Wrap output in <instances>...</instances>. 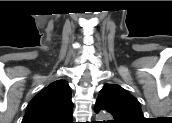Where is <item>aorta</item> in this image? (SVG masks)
Instances as JSON below:
<instances>
[{
  "label": "aorta",
  "mask_w": 172,
  "mask_h": 123,
  "mask_svg": "<svg viewBox=\"0 0 172 123\" xmlns=\"http://www.w3.org/2000/svg\"><path fill=\"white\" fill-rule=\"evenodd\" d=\"M98 119H105V118H110V115L107 113V112H100L98 113V116H97Z\"/></svg>",
  "instance_id": "762f6f07"
}]
</instances>
